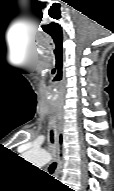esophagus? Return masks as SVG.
<instances>
[{
    "label": "esophagus",
    "mask_w": 114,
    "mask_h": 191,
    "mask_svg": "<svg viewBox=\"0 0 114 191\" xmlns=\"http://www.w3.org/2000/svg\"><path fill=\"white\" fill-rule=\"evenodd\" d=\"M57 168L56 175L59 176L61 173V169L64 164V131H63V123L60 120L57 125Z\"/></svg>",
    "instance_id": "1"
}]
</instances>
